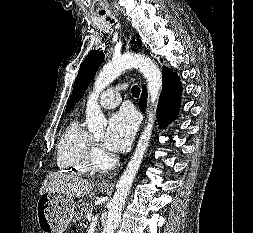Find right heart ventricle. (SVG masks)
I'll return each instance as SVG.
<instances>
[{"mask_svg": "<svg viewBox=\"0 0 253 233\" xmlns=\"http://www.w3.org/2000/svg\"><path fill=\"white\" fill-rule=\"evenodd\" d=\"M92 135L79 120L72 121L63 131L56 149V165L63 173L81 175L91 171L86 160V151Z\"/></svg>", "mask_w": 253, "mask_h": 233, "instance_id": "right-heart-ventricle-1", "label": "right heart ventricle"}]
</instances>
